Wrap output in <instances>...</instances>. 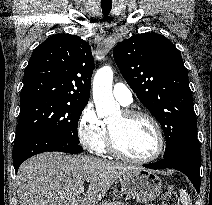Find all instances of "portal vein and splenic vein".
Wrapping results in <instances>:
<instances>
[{
	"instance_id": "obj_1",
	"label": "portal vein and splenic vein",
	"mask_w": 212,
	"mask_h": 205,
	"mask_svg": "<svg viewBox=\"0 0 212 205\" xmlns=\"http://www.w3.org/2000/svg\"><path fill=\"white\" fill-rule=\"evenodd\" d=\"M83 192H84V187L81 186V187L79 188V190H78V193H79V194H82Z\"/></svg>"
}]
</instances>
